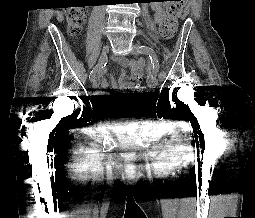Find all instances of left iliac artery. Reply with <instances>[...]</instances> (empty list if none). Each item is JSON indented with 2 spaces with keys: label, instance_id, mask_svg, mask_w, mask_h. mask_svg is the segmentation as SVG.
I'll return each mask as SVG.
<instances>
[{
  "label": "left iliac artery",
  "instance_id": "1",
  "mask_svg": "<svg viewBox=\"0 0 255 218\" xmlns=\"http://www.w3.org/2000/svg\"><path fill=\"white\" fill-rule=\"evenodd\" d=\"M140 52L149 56L152 65L151 77L156 76L159 71V61L156 52L147 46H140Z\"/></svg>",
  "mask_w": 255,
  "mask_h": 218
}]
</instances>
